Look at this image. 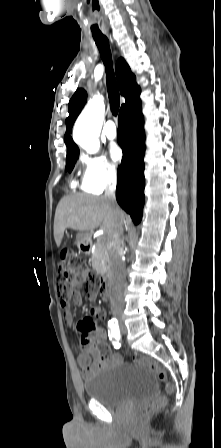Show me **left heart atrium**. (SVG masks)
<instances>
[{"label":"left heart atrium","instance_id":"1","mask_svg":"<svg viewBox=\"0 0 221 448\" xmlns=\"http://www.w3.org/2000/svg\"><path fill=\"white\" fill-rule=\"evenodd\" d=\"M110 155L114 161H118L122 157V150L119 146L114 145L110 149Z\"/></svg>","mask_w":221,"mask_h":448}]
</instances>
